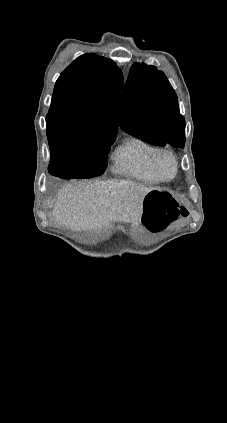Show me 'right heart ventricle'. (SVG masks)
Here are the masks:
<instances>
[{"instance_id":"obj_1","label":"right heart ventricle","mask_w":227,"mask_h":423,"mask_svg":"<svg viewBox=\"0 0 227 423\" xmlns=\"http://www.w3.org/2000/svg\"><path fill=\"white\" fill-rule=\"evenodd\" d=\"M154 149L152 144L139 137L126 138L114 152L113 172L149 184L163 181L151 165Z\"/></svg>"}]
</instances>
